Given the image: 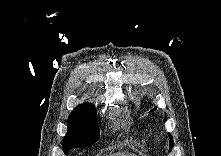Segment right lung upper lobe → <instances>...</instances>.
I'll return each mask as SVG.
<instances>
[{"mask_svg": "<svg viewBox=\"0 0 221 156\" xmlns=\"http://www.w3.org/2000/svg\"><path fill=\"white\" fill-rule=\"evenodd\" d=\"M76 108H94V107L90 105L89 103H84V104L78 105Z\"/></svg>", "mask_w": 221, "mask_h": 156, "instance_id": "1", "label": "right lung upper lobe"}]
</instances>
